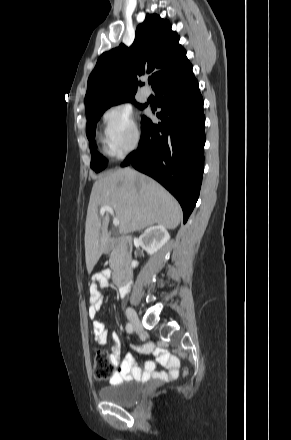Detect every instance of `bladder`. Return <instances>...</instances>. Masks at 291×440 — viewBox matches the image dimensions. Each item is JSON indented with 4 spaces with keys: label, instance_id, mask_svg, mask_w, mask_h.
I'll list each match as a JSON object with an SVG mask.
<instances>
[{
    "label": "bladder",
    "instance_id": "obj_1",
    "mask_svg": "<svg viewBox=\"0 0 291 440\" xmlns=\"http://www.w3.org/2000/svg\"><path fill=\"white\" fill-rule=\"evenodd\" d=\"M98 395L103 401L120 406H131L136 404L141 398L142 387L139 381L125 380L111 386L100 388Z\"/></svg>",
    "mask_w": 291,
    "mask_h": 440
}]
</instances>
